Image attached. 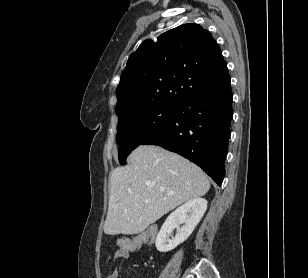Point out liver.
<instances>
[{"label": "liver", "instance_id": "obj_1", "mask_svg": "<svg viewBox=\"0 0 308 278\" xmlns=\"http://www.w3.org/2000/svg\"><path fill=\"white\" fill-rule=\"evenodd\" d=\"M129 164L111 173L104 232L139 234L164 214L210 189L206 174L182 156L154 145H140Z\"/></svg>", "mask_w": 308, "mask_h": 278}]
</instances>
